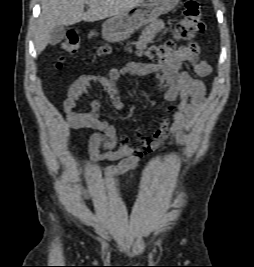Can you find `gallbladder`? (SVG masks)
<instances>
[{
    "label": "gallbladder",
    "mask_w": 254,
    "mask_h": 267,
    "mask_svg": "<svg viewBox=\"0 0 254 267\" xmlns=\"http://www.w3.org/2000/svg\"><path fill=\"white\" fill-rule=\"evenodd\" d=\"M66 34V29L64 26H57L53 32L51 33L50 39H49V44L54 46L61 42Z\"/></svg>",
    "instance_id": "gallbladder-1"
}]
</instances>
